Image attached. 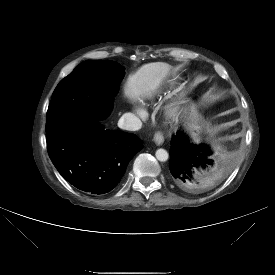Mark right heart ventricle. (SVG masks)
<instances>
[{
    "label": "right heart ventricle",
    "mask_w": 275,
    "mask_h": 275,
    "mask_svg": "<svg viewBox=\"0 0 275 275\" xmlns=\"http://www.w3.org/2000/svg\"><path fill=\"white\" fill-rule=\"evenodd\" d=\"M170 84H171V82H167L165 86H169ZM153 100H154V95H148L142 100V104L144 106H149V105H151Z\"/></svg>",
    "instance_id": "obj_1"
}]
</instances>
